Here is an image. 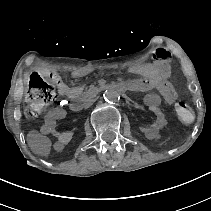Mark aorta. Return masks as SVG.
<instances>
[{
	"mask_svg": "<svg viewBox=\"0 0 211 211\" xmlns=\"http://www.w3.org/2000/svg\"><path fill=\"white\" fill-rule=\"evenodd\" d=\"M104 99L108 102V103H116L120 100V95L117 91L115 90H107L104 93Z\"/></svg>",
	"mask_w": 211,
	"mask_h": 211,
	"instance_id": "aorta-1",
	"label": "aorta"
}]
</instances>
